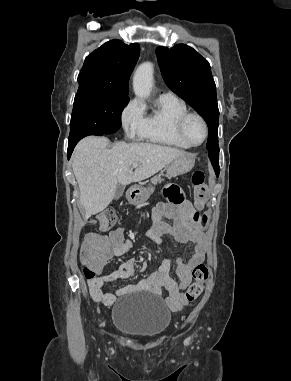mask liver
Here are the masks:
<instances>
[{
	"label": "liver",
	"instance_id": "liver-1",
	"mask_svg": "<svg viewBox=\"0 0 291 381\" xmlns=\"http://www.w3.org/2000/svg\"><path fill=\"white\" fill-rule=\"evenodd\" d=\"M105 137L82 139L73 153V172L79 185L85 219L103 211L115 197L118 184L145 180L187 155L176 148L151 143L118 142L108 148ZM138 163L133 172L131 166Z\"/></svg>",
	"mask_w": 291,
	"mask_h": 381
}]
</instances>
